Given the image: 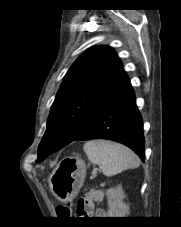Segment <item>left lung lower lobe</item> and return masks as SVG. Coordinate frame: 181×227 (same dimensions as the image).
I'll list each match as a JSON object with an SVG mask.
<instances>
[{
    "label": "left lung lower lobe",
    "instance_id": "1",
    "mask_svg": "<svg viewBox=\"0 0 181 227\" xmlns=\"http://www.w3.org/2000/svg\"><path fill=\"white\" fill-rule=\"evenodd\" d=\"M91 139L122 143L144 161L143 122L129 79L96 109L83 132L74 141Z\"/></svg>",
    "mask_w": 181,
    "mask_h": 227
}]
</instances>
